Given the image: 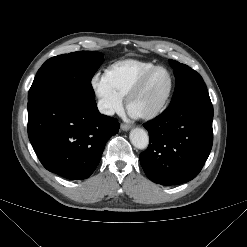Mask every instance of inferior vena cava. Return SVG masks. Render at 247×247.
Masks as SVG:
<instances>
[{"label":"inferior vena cava","mask_w":247,"mask_h":247,"mask_svg":"<svg viewBox=\"0 0 247 247\" xmlns=\"http://www.w3.org/2000/svg\"><path fill=\"white\" fill-rule=\"evenodd\" d=\"M98 109L100 113L108 115V116H112L115 113L113 107L107 102H105L104 100L98 101Z\"/></svg>","instance_id":"602c4592"}]
</instances>
